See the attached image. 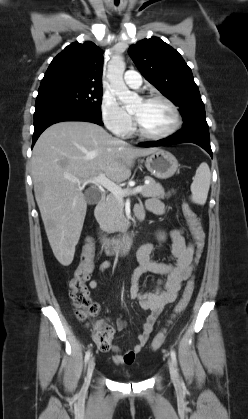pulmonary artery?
Here are the masks:
<instances>
[{"mask_svg": "<svg viewBox=\"0 0 248 419\" xmlns=\"http://www.w3.org/2000/svg\"><path fill=\"white\" fill-rule=\"evenodd\" d=\"M124 82L131 88H139L142 84L141 75L137 71L129 70L124 74Z\"/></svg>", "mask_w": 248, "mask_h": 419, "instance_id": "pulmonary-artery-1", "label": "pulmonary artery"}]
</instances>
